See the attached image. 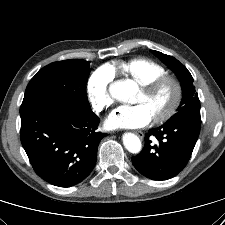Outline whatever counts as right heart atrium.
<instances>
[{
  "instance_id": "d8ad5b80",
  "label": "right heart atrium",
  "mask_w": 225,
  "mask_h": 225,
  "mask_svg": "<svg viewBox=\"0 0 225 225\" xmlns=\"http://www.w3.org/2000/svg\"><path fill=\"white\" fill-rule=\"evenodd\" d=\"M114 72L111 67L104 66L94 71L87 82L88 100L96 112L107 110L113 103L111 84Z\"/></svg>"
}]
</instances>
